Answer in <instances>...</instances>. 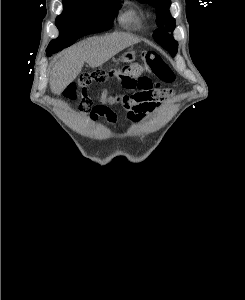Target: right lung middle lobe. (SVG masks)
<instances>
[{
	"mask_svg": "<svg viewBox=\"0 0 245 300\" xmlns=\"http://www.w3.org/2000/svg\"><path fill=\"white\" fill-rule=\"evenodd\" d=\"M63 12L56 18L59 37L50 42L46 51L56 53L83 36L80 22L94 19L108 30L120 8V0H63Z\"/></svg>",
	"mask_w": 245,
	"mask_h": 300,
	"instance_id": "right-lung-middle-lobe-1",
	"label": "right lung middle lobe"
}]
</instances>
